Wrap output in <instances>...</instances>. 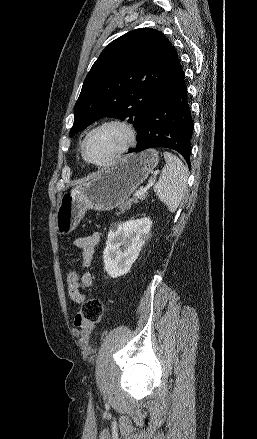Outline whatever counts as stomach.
I'll return each instance as SVG.
<instances>
[{"instance_id": "obj_1", "label": "stomach", "mask_w": 257, "mask_h": 439, "mask_svg": "<svg viewBox=\"0 0 257 439\" xmlns=\"http://www.w3.org/2000/svg\"><path fill=\"white\" fill-rule=\"evenodd\" d=\"M158 162L155 149L129 154L89 181L64 192L56 211L58 233L65 235L73 231L87 210L110 211L124 203Z\"/></svg>"}]
</instances>
